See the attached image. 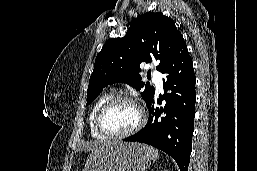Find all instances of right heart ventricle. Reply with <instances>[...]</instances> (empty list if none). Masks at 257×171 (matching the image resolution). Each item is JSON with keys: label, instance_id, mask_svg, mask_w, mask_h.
<instances>
[{"label": "right heart ventricle", "instance_id": "e07e8e85", "mask_svg": "<svg viewBox=\"0 0 257 171\" xmlns=\"http://www.w3.org/2000/svg\"><path fill=\"white\" fill-rule=\"evenodd\" d=\"M113 97V93L109 92V93H105L103 95H101L100 97L97 98V100L94 102L90 112H89V116H88V124H89V130H90V134L93 138L95 139H106L105 136H103L102 134H100L95 127V117L96 114L99 110V108L110 98Z\"/></svg>", "mask_w": 257, "mask_h": 171}]
</instances>
